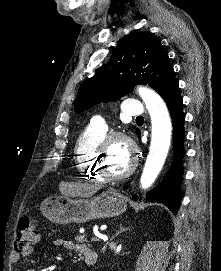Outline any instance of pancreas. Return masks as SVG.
I'll return each mask as SVG.
<instances>
[{"instance_id":"1","label":"pancreas","mask_w":221,"mask_h":271,"mask_svg":"<svg viewBox=\"0 0 221 271\" xmlns=\"http://www.w3.org/2000/svg\"><path fill=\"white\" fill-rule=\"evenodd\" d=\"M76 242H82L83 244H92V239H87V237H76Z\"/></svg>"}]
</instances>
